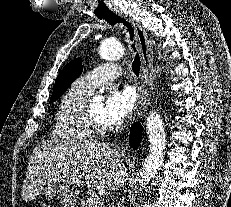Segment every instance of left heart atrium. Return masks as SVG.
<instances>
[{
  "label": "left heart atrium",
  "mask_w": 231,
  "mask_h": 207,
  "mask_svg": "<svg viewBox=\"0 0 231 207\" xmlns=\"http://www.w3.org/2000/svg\"><path fill=\"white\" fill-rule=\"evenodd\" d=\"M136 94L130 87L113 89L104 103L102 119L107 125L120 123L133 110Z\"/></svg>",
  "instance_id": "left-heart-atrium-1"
}]
</instances>
